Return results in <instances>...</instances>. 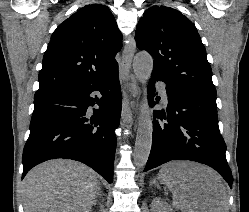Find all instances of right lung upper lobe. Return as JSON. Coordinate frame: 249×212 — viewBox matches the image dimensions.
Listing matches in <instances>:
<instances>
[{
  "label": "right lung upper lobe",
  "mask_w": 249,
  "mask_h": 212,
  "mask_svg": "<svg viewBox=\"0 0 249 212\" xmlns=\"http://www.w3.org/2000/svg\"><path fill=\"white\" fill-rule=\"evenodd\" d=\"M121 40L122 34L107 6L80 8L52 34L35 97L94 84L117 70L115 55L122 47Z\"/></svg>",
  "instance_id": "obj_1"
}]
</instances>
